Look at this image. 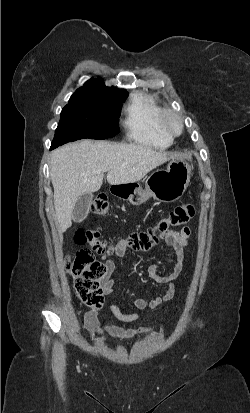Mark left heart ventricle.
<instances>
[{
  "instance_id": "b2bd125f",
  "label": "left heart ventricle",
  "mask_w": 250,
  "mask_h": 413,
  "mask_svg": "<svg viewBox=\"0 0 250 413\" xmlns=\"http://www.w3.org/2000/svg\"><path fill=\"white\" fill-rule=\"evenodd\" d=\"M170 126H171L173 129H176V128H177V124H176V122H175L174 120H171V121H170Z\"/></svg>"
}]
</instances>
